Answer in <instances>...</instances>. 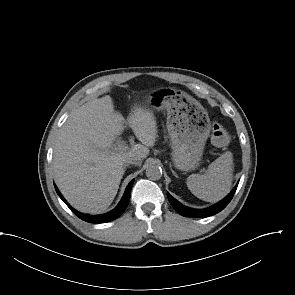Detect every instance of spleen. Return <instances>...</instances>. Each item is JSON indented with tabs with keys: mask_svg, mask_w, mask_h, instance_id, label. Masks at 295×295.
Wrapping results in <instances>:
<instances>
[{
	"mask_svg": "<svg viewBox=\"0 0 295 295\" xmlns=\"http://www.w3.org/2000/svg\"><path fill=\"white\" fill-rule=\"evenodd\" d=\"M233 179V157L227 151L213 161L205 174H192L187 178V187L197 198L217 202L229 192Z\"/></svg>",
	"mask_w": 295,
	"mask_h": 295,
	"instance_id": "1",
	"label": "spleen"
}]
</instances>
